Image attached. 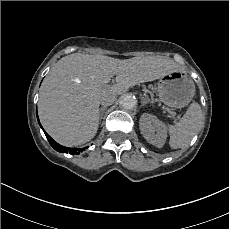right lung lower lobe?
<instances>
[{"label":"right lung lower lobe","instance_id":"1","mask_svg":"<svg viewBox=\"0 0 229 229\" xmlns=\"http://www.w3.org/2000/svg\"><path fill=\"white\" fill-rule=\"evenodd\" d=\"M37 119H38V122L40 124L38 116H37ZM40 126H41V124H40ZM41 128H42V126H41ZM43 131H44V129H43ZM44 133H45L50 145L58 152L70 153V154H79L80 152H82L86 148H88V147H85V148L80 149V148H67V147H64V146L58 144L56 141H54L45 131H44Z\"/></svg>","mask_w":229,"mask_h":229}]
</instances>
